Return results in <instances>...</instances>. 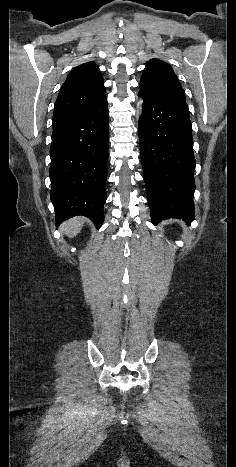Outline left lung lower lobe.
Segmentation results:
<instances>
[{
	"label": "left lung lower lobe",
	"instance_id": "0a47b994",
	"mask_svg": "<svg viewBox=\"0 0 236 467\" xmlns=\"http://www.w3.org/2000/svg\"><path fill=\"white\" fill-rule=\"evenodd\" d=\"M143 110L139 144L151 219L194 220L192 124L185 101L165 100L140 91Z\"/></svg>",
	"mask_w": 236,
	"mask_h": 467
}]
</instances>
